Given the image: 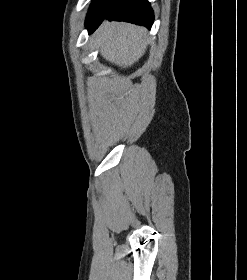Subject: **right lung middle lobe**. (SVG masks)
Wrapping results in <instances>:
<instances>
[{"instance_id": "1", "label": "right lung middle lobe", "mask_w": 247, "mask_h": 280, "mask_svg": "<svg viewBox=\"0 0 247 280\" xmlns=\"http://www.w3.org/2000/svg\"><path fill=\"white\" fill-rule=\"evenodd\" d=\"M113 0H93L87 15L86 24L103 16Z\"/></svg>"}]
</instances>
